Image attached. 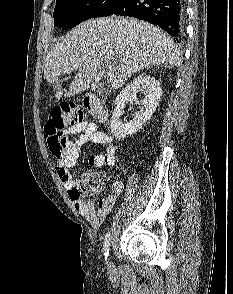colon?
Wrapping results in <instances>:
<instances>
[{
	"label": "colon",
	"instance_id": "1",
	"mask_svg": "<svg viewBox=\"0 0 233 294\" xmlns=\"http://www.w3.org/2000/svg\"><path fill=\"white\" fill-rule=\"evenodd\" d=\"M85 121L84 112L73 103L61 104L53 108L44 126L45 138L51 153L59 160L65 155L69 146L67 135L77 124ZM102 188V175L89 172L77 182L76 195H91Z\"/></svg>",
	"mask_w": 233,
	"mask_h": 294
}]
</instances>
